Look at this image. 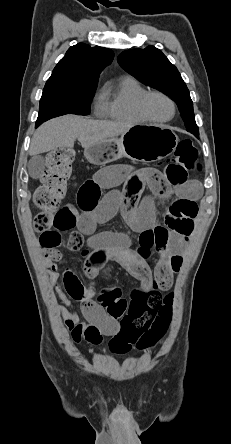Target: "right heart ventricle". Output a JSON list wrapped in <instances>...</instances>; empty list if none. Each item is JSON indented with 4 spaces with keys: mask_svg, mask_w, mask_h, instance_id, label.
<instances>
[{
    "mask_svg": "<svg viewBox=\"0 0 231 444\" xmlns=\"http://www.w3.org/2000/svg\"><path fill=\"white\" fill-rule=\"evenodd\" d=\"M146 89L134 78L122 79L117 90L106 98L103 117L124 124L147 122L137 111V102Z\"/></svg>",
    "mask_w": 231,
    "mask_h": 444,
    "instance_id": "e07e8e85",
    "label": "right heart ventricle"
}]
</instances>
